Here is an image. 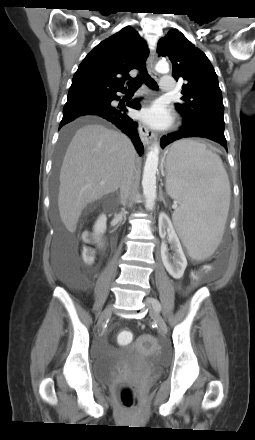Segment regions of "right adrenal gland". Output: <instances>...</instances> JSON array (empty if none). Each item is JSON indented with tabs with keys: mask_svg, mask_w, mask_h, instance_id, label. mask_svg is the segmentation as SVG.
I'll return each mask as SVG.
<instances>
[{
	"mask_svg": "<svg viewBox=\"0 0 255 440\" xmlns=\"http://www.w3.org/2000/svg\"><path fill=\"white\" fill-rule=\"evenodd\" d=\"M117 197H118V201L120 200V196H119V193L117 192Z\"/></svg>",
	"mask_w": 255,
	"mask_h": 440,
	"instance_id": "1",
	"label": "right adrenal gland"
}]
</instances>
